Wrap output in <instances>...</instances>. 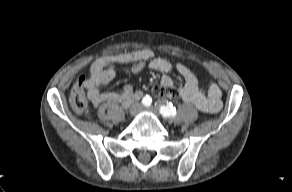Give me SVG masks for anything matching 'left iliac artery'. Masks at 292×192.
<instances>
[{"instance_id": "44dca946", "label": "left iliac artery", "mask_w": 292, "mask_h": 192, "mask_svg": "<svg viewBox=\"0 0 292 192\" xmlns=\"http://www.w3.org/2000/svg\"><path fill=\"white\" fill-rule=\"evenodd\" d=\"M159 110L162 116H164L165 118L175 117L177 114L175 107L171 103L161 105Z\"/></svg>"}]
</instances>
